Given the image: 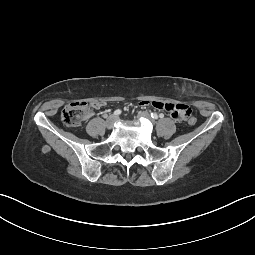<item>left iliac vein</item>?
Returning <instances> with one entry per match:
<instances>
[{
	"label": "left iliac vein",
	"instance_id": "4c4485c4",
	"mask_svg": "<svg viewBox=\"0 0 255 255\" xmlns=\"http://www.w3.org/2000/svg\"><path fill=\"white\" fill-rule=\"evenodd\" d=\"M138 117H143V118L151 120V117H150L149 113L148 112H144V111L143 112H139Z\"/></svg>",
	"mask_w": 255,
	"mask_h": 255
}]
</instances>
